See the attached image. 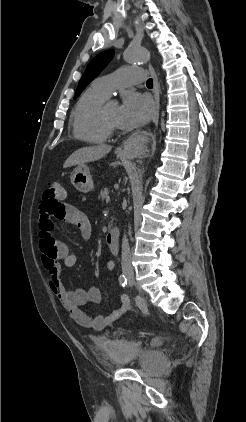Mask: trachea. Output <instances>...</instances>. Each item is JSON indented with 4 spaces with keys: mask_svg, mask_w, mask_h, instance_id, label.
<instances>
[{
    "mask_svg": "<svg viewBox=\"0 0 246 422\" xmlns=\"http://www.w3.org/2000/svg\"><path fill=\"white\" fill-rule=\"evenodd\" d=\"M146 85L148 86V87H153V80L150 78V79H148L147 80V82H146Z\"/></svg>",
    "mask_w": 246,
    "mask_h": 422,
    "instance_id": "trachea-1",
    "label": "trachea"
}]
</instances>
